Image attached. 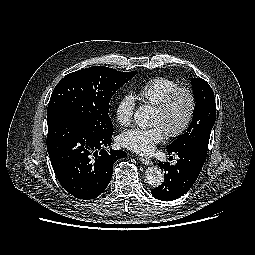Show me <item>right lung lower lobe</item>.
<instances>
[{
    "label": "right lung lower lobe",
    "mask_w": 255,
    "mask_h": 255,
    "mask_svg": "<svg viewBox=\"0 0 255 255\" xmlns=\"http://www.w3.org/2000/svg\"><path fill=\"white\" fill-rule=\"evenodd\" d=\"M47 120V151L60 184L78 199L99 196L111 180L113 164L126 153L101 149L111 144L112 134H97L68 114Z\"/></svg>",
    "instance_id": "obj_1"
}]
</instances>
